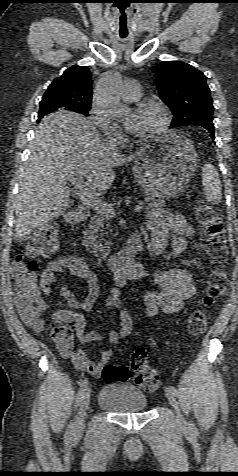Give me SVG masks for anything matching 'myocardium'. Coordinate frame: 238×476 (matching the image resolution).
Listing matches in <instances>:
<instances>
[{"instance_id":"1","label":"myocardium","mask_w":238,"mask_h":476,"mask_svg":"<svg viewBox=\"0 0 238 476\" xmlns=\"http://www.w3.org/2000/svg\"><path fill=\"white\" fill-rule=\"evenodd\" d=\"M146 107H154L158 109L162 115V120L159 126L153 131H151L149 134L143 137L138 136L137 138L140 141H149L161 135L167 130V128L169 127L171 123V112L169 108L167 107V105L164 104L163 102L156 101V100H145L138 104L137 109L139 110Z\"/></svg>"}]
</instances>
